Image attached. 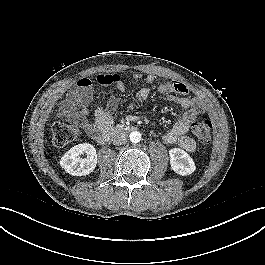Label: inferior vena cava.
Segmentation results:
<instances>
[{
	"instance_id": "1",
	"label": "inferior vena cava",
	"mask_w": 265,
	"mask_h": 265,
	"mask_svg": "<svg viewBox=\"0 0 265 265\" xmlns=\"http://www.w3.org/2000/svg\"><path fill=\"white\" fill-rule=\"evenodd\" d=\"M127 142H128V135L123 132L117 134L113 139V144L117 146L126 144Z\"/></svg>"
}]
</instances>
